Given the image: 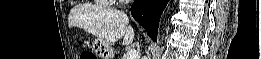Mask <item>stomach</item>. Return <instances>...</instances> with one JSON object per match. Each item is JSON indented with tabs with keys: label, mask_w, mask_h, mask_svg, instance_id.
<instances>
[{
	"label": "stomach",
	"mask_w": 261,
	"mask_h": 59,
	"mask_svg": "<svg viewBox=\"0 0 261 59\" xmlns=\"http://www.w3.org/2000/svg\"><path fill=\"white\" fill-rule=\"evenodd\" d=\"M94 51L101 59H113L111 43L97 38L94 42Z\"/></svg>",
	"instance_id": "1"
}]
</instances>
